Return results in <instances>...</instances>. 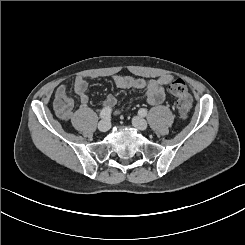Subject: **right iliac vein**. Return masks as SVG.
<instances>
[{
    "mask_svg": "<svg viewBox=\"0 0 245 245\" xmlns=\"http://www.w3.org/2000/svg\"><path fill=\"white\" fill-rule=\"evenodd\" d=\"M109 128H110V122L107 120H103V121L99 122V124H98V129L101 132H106L109 130Z\"/></svg>",
    "mask_w": 245,
    "mask_h": 245,
    "instance_id": "obj_1",
    "label": "right iliac vein"
}]
</instances>
